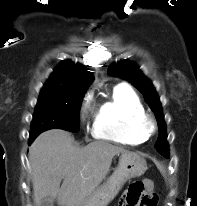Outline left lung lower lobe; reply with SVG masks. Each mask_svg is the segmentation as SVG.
Here are the masks:
<instances>
[{"label": "left lung lower lobe", "mask_w": 197, "mask_h": 206, "mask_svg": "<svg viewBox=\"0 0 197 206\" xmlns=\"http://www.w3.org/2000/svg\"><path fill=\"white\" fill-rule=\"evenodd\" d=\"M165 157H169V155H168V154H166V155H165Z\"/></svg>", "instance_id": "obj_1"}]
</instances>
